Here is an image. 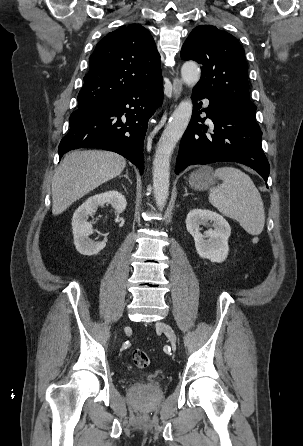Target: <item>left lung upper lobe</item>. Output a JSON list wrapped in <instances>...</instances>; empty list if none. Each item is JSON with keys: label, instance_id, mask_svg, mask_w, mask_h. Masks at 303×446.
<instances>
[{"label": "left lung upper lobe", "instance_id": "5c2ea615", "mask_svg": "<svg viewBox=\"0 0 303 446\" xmlns=\"http://www.w3.org/2000/svg\"><path fill=\"white\" fill-rule=\"evenodd\" d=\"M181 58L202 65L201 79L195 87L228 99L255 119L244 49L234 36L212 25L197 26L183 44Z\"/></svg>", "mask_w": 303, "mask_h": 446}]
</instances>
